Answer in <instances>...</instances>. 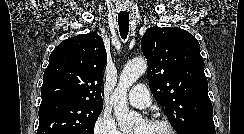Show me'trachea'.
Listing matches in <instances>:
<instances>
[{
	"label": "trachea",
	"mask_w": 244,
	"mask_h": 134,
	"mask_svg": "<svg viewBox=\"0 0 244 134\" xmlns=\"http://www.w3.org/2000/svg\"><path fill=\"white\" fill-rule=\"evenodd\" d=\"M119 31L122 39H126L129 32V14H118Z\"/></svg>",
	"instance_id": "obj_1"
}]
</instances>
